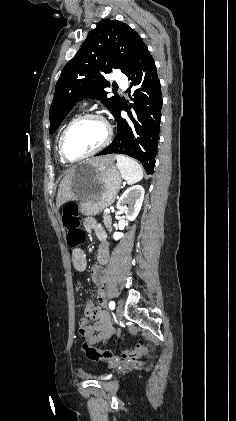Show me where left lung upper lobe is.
<instances>
[{
	"label": "left lung upper lobe",
	"mask_w": 236,
	"mask_h": 421,
	"mask_svg": "<svg viewBox=\"0 0 236 421\" xmlns=\"http://www.w3.org/2000/svg\"><path fill=\"white\" fill-rule=\"evenodd\" d=\"M142 44V38L127 24L109 19L99 22L61 72L49 111V133H54L76 101L85 97L101 100L114 115L121 98L118 94L107 97L104 88L110 83L104 74L113 69L125 74Z\"/></svg>",
	"instance_id": "left-lung-upper-lobe-1"
}]
</instances>
